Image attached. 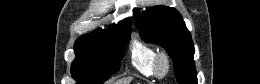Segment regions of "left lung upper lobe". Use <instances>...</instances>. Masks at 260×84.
Masks as SVG:
<instances>
[{
	"label": "left lung upper lobe",
	"mask_w": 260,
	"mask_h": 84,
	"mask_svg": "<svg viewBox=\"0 0 260 84\" xmlns=\"http://www.w3.org/2000/svg\"><path fill=\"white\" fill-rule=\"evenodd\" d=\"M134 17L141 38L161 45L173 59L178 83L197 84L194 46L179 12L174 8L155 6Z\"/></svg>",
	"instance_id": "left-lung-upper-lobe-1"
}]
</instances>
